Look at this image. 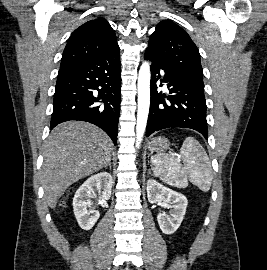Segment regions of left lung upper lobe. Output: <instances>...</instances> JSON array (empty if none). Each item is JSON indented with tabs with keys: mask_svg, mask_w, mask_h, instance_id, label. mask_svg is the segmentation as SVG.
Instances as JSON below:
<instances>
[{
	"mask_svg": "<svg viewBox=\"0 0 267 270\" xmlns=\"http://www.w3.org/2000/svg\"><path fill=\"white\" fill-rule=\"evenodd\" d=\"M146 50L175 74L204 87L198 48L180 26L171 21L158 23Z\"/></svg>",
	"mask_w": 267,
	"mask_h": 270,
	"instance_id": "left-lung-upper-lobe-1",
	"label": "left lung upper lobe"
}]
</instances>
